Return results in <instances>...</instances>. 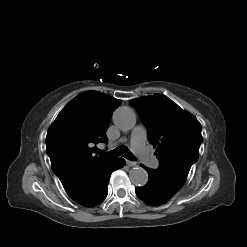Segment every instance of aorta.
Returning <instances> with one entry per match:
<instances>
[{"label": "aorta", "mask_w": 247, "mask_h": 247, "mask_svg": "<svg viewBox=\"0 0 247 247\" xmlns=\"http://www.w3.org/2000/svg\"><path fill=\"white\" fill-rule=\"evenodd\" d=\"M113 122L122 131L131 130L136 124V114L129 107H120L113 114ZM129 177L136 186H144L148 182V174L142 167L132 168Z\"/></svg>", "instance_id": "aorta-1"}]
</instances>
